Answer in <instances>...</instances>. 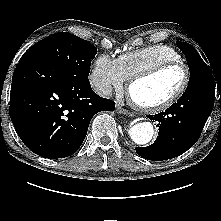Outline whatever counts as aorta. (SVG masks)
<instances>
[{
  "mask_svg": "<svg viewBox=\"0 0 221 221\" xmlns=\"http://www.w3.org/2000/svg\"><path fill=\"white\" fill-rule=\"evenodd\" d=\"M153 134L154 128L152 123L146 121L136 123L129 129L131 139L139 145L149 143L153 138Z\"/></svg>",
  "mask_w": 221,
  "mask_h": 221,
  "instance_id": "1",
  "label": "aorta"
}]
</instances>
